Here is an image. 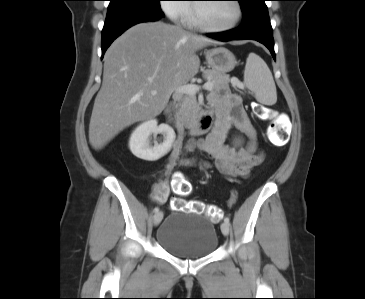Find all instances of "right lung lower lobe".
I'll return each mask as SVG.
<instances>
[{
    "label": "right lung lower lobe",
    "instance_id": "1",
    "mask_svg": "<svg viewBox=\"0 0 365 299\" xmlns=\"http://www.w3.org/2000/svg\"><path fill=\"white\" fill-rule=\"evenodd\" d=\"M161 8L131 7L107 13L102 30V58L111 43L131 26L163 18Z\"/></svg>",
    "mask_w": 365,
    "mask_h": 299
}]
</instances>
